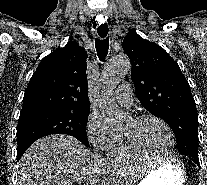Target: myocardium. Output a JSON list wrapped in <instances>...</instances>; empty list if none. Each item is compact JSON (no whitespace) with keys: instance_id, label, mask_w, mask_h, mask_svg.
<instances>
[{"instance_id":"f54148a6","label":"myocardium","mask_w":207,"mask_h":185,"mask_svg":"<svg viewBox=\"0 0 207 185\" xmlns=\"http://www.w3.org/2000/svg\"><path fill=\"white\" fill-rule=\"evenodd\" d=\"M147 120H155L157 122H159L167 131L169 139H170V147L168 149V151L162 155V156H155L152 154H149L148 152H146L143 148H141L136 141L134 140V138L127 133L123 132V137L125 140V143L127 145V147L134 153L145 157L146 159H150V160H165V159H169L175 149V145H176V138H175V134L171 128V126L161 117L156 116V115H152V114H148V115H141V116H137L133 119V122L135 124H140L144 121Z\"/></svg>"}]
</instances>
